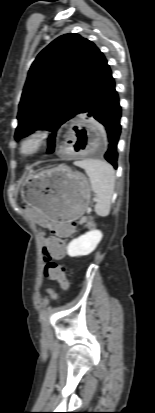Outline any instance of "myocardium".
Here are the masks:
<instances>
[{"label":"myocardium","mask_w":155,"mask_h":413,"mask_svg":"<svg viewBox=\"0 0 155 413\" xmlns=\"http://www.w3.org/2000/svg\"><path fill=\"white\" fill-rule=\"evenodd\" d=\"M48 131L43 128H37L27 133L19 144V153L23 157H31L37 154L46 144Z\"/></svg>","instance_id":"1"}]
</instances>
